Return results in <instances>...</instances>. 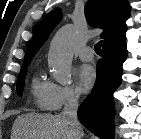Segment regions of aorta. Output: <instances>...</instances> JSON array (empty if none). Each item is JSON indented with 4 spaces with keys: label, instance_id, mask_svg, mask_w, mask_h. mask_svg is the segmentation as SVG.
<instances>
[{
    "label": "aorta",
    "instance_id": "obj_1",
    "mask_svg": "<svg viewBox=\"0 0 141 139\" xmlns=\"http://www.w3.org/2000/svg\"><path fill=\"white\" fill-rule=\"evenodd\" d=\"M77 43V33L73 25H65L51 41L48 64L55 80L60 84L71 81L73 52Z\"/></svg>",
    "mask_w": 141,
    "mask_h": 139
}]
</instances>
